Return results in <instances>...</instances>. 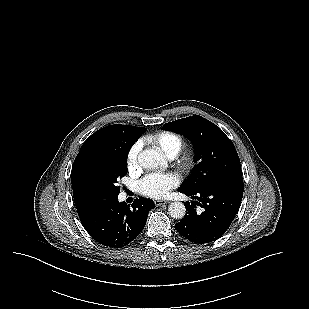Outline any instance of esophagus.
Wrapping results in <instances>:
<instances>
[{"instance_id":"obj_1","label":"esophagus","mask_w":309,"mask_h":309,"mask_svg":"<svg viewBox=\"0 0 309 309\" xmlns=\"http://www.w3.org/2000/svg\"><path fill=\"white\" fill-rule=\"evenodd\" d=\"M154 203L158 207V206L165 205V204L169 203V201H167V200H155Z\"/></svg>"}]
</instances>
